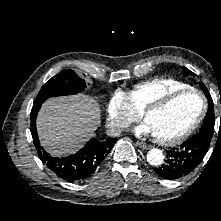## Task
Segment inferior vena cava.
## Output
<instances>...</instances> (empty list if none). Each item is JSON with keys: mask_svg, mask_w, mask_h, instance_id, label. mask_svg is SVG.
Instances as JSON below:
<instances>
[{"mask_svg": "<svg viewBox=\"0 0 221 221\" xmlns=\"http://www.w3.org/2000/svg\"><path fill=\"white\" fill-rule=\"evenodd\" d=\"M121 132L122 129L119 126H112L107 130V134L111 137H118L121 134Z\"/></svg>", "mask_w": 221, "mask_h": 221, "instance_id": "inferior-vena-cava-1", "label": "inferior vena cava"}]
</instances>
